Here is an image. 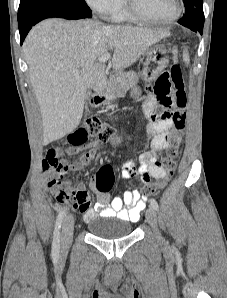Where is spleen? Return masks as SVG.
<instances>
[{
    "mask_svg": "<svg viewBox=\"0 0 227 298\" xmlns=\"http://www.w3.org/2000/svg\"><path fill=\"white\" fill-rule=\"evenodd\" d=\"M183 61L186 64H189V62H190L189 53H188L187 49H184V51H183Z\"/></svg>",
    "mask_w": 227,
    "mask_h": 298,
    "instance_id": "obj_1",
    "label": "spleen"
}]
</instances>
